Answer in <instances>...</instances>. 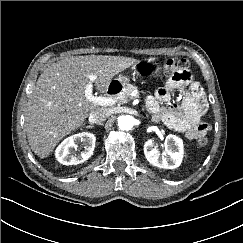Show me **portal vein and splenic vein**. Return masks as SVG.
<instances>
[{
    "label": "portal vein and splenic vein",
    "mask_w": 243,
    "mask_h": 243,
    "mask_svg": "<svg viewBox=\"0 0 243 243\" xmlns=\"http://www.w3.org/2000/svg\"><path fill=\"white\" fill-rule=\"evenodd\" d=\"M90 81L85 86V97L88 101L99 106H112L117 103L112 97L94 96L93 91V81L96 79L95 75H90Z\"/></svg>",
    "instance_id": "1"
}]
</instances>
